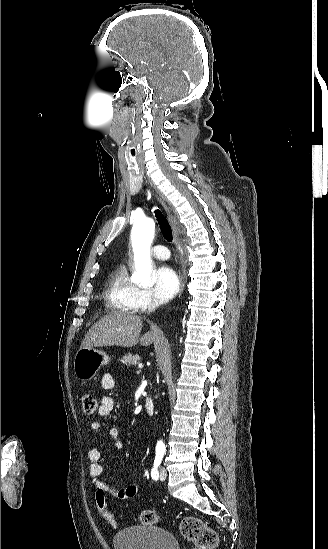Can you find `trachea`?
Listing matches in <instances>:
<instances>
[{
    "instance_id": "1",
    "label": "trachea",
    "mask_w": 328,
    "mask_h": 549,
    "mask_svg": "<svg viewBox=\"0 0 328 549\" xmlns=\"http://www.w3.org/2000/svg\"><path fill=\"white\" fill-rule=\"evenodd\" d=\"M155 217L163 234V237L168 241L172 242V229L166 217L162 214L160 210H155Z\"/></svg>"
}]
</instances>
